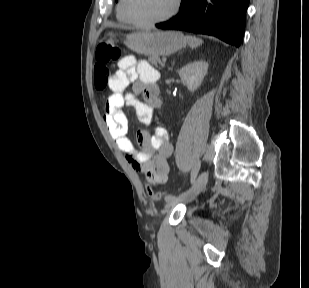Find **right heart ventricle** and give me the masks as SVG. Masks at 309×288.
<instances>
[{
  "mask_svg": "<svg viewBox=\"0 0 309 288\" xmlns=\"http://www.w3.org/2000/svg\"><path fill=\"white\" fill-rule=\"evenodd\" d=\"M116 17L119 22L123 24H127L128 22L125 20L123 14H122V0H119L116 6Z\"/></svg>",
  "mask_w": 309,
  "mask_h": 288,
  "instance_id": "e07e8e85",
  "label": "right heart ventricle"
}]
</instances>
